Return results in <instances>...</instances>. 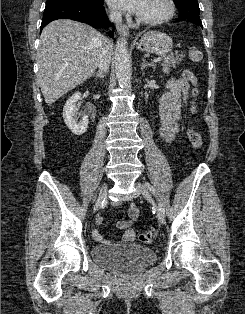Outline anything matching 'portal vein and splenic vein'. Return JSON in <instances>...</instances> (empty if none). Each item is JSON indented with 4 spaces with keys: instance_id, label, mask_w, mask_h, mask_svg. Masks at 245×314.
I'll return each instance as SVG.
<instances>
[{
    "instance_id": "portal-vein-and-splenic-vein-1",
    "label": "portal vein and splenic vein",
    "mask_w": 245,
    "mask_h": 314,
    "mask_svg": "<svg viewBox=\"0 0 245 314\" xmlns=\"http://www.w3.org/2000/svg\"><path fill=\"white\" fill-rule=\"evenodd\" d=\"M162 60V57H158V58H155L154 60H153V62L155 63V62H159V61H161Z\"/></svg>"
}]
</instances>
